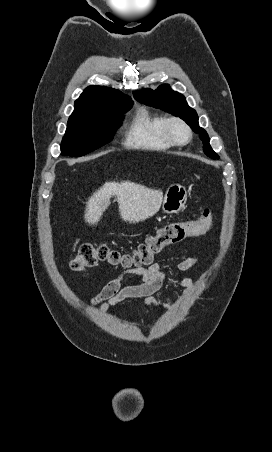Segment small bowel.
Instances as JSON below:
<instances>
[{"label": "small bowel", "mask_w": 272, "mask_h": 452, "mask_svg": "<svg viewBox=\"0 0 272 452\" xmlns=\"http://www.w3.org/2000/svg\"><path fill=\"white\" fill-rule=\"evenodd\" d=\"M198 261L199 256L195 254L178 261L175 266L180 271H186L194 267ZM128 275H137L141 277L142 282L125 286L122 285L123 280ZM170 281L171 279L158 263L151 264L147 268L137 267L134 269H127L104 285L101 291L92 299V304L98 306L100 310L105 313L110 307L118 303L129 299L144 298L147 307L175 309L179 307L190 294L194 286V281L187 277L173 280L174 284L182 289V294L173 303H164L154 295Z\"/></svg>", "instance_id": "obj_1"}]
</instances>
